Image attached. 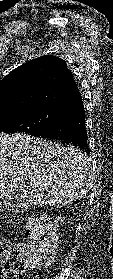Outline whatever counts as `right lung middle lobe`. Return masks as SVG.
Listing matches in <instances>:
<instances>
[{
	"label": "right lung middle lobe",
	"mask_w": 113,
	"mask_h": 279,
	"mask_svg": "<svg viewBox=\"0 0 113 279\" xmlns=\"http://www.w3.org/2000/svg\"><path fill=\"white\" fill-rule=\"evenodd\" d=\"M66 113V110L51 107L1 109L0 133L31 134L39 128L57 123Z\"/></svg>",
	"instance_id": "right-lung-middle-lobe-1"
}]
</instances>
